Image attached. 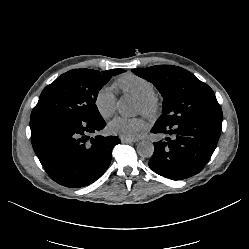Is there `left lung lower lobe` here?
<instances>
[{
    "mask_svg": "<svg viewBox=\"0 0 249 249\" xmlns=\"http://www.w3.org/2000/svg\"><path fill=\"white\" fill-rule=\"evenodd\" d=\"M221 127L220 120H186L169 126L155 124L151 132L168 137L165 141L154 142L149 167L172 180L199 173L216 148Z\"/></svg>",
    "mask_w": 249,
    "mask_h": 249,
    "instance_id": "0a47b994",
    "label": "left lung lower lobe"
}]
</instances>
